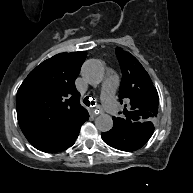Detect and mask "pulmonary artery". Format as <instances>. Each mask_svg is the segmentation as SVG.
Returning a JSON list of instances; mask_svg holds the SVG:
<instances>
[{"label":"pulmonary artery","mask_w":193,"mask_h":193,"mask_svg":"<svg viewBox=\"0 0 193 193\" xmlns=\"http://www.w3.org/2000/svg\"><path fill=\"white\" fill-rule=\"evenodd\" d=\"M118 84V80L112 73H109L102 84V99L107 110L111 111L113 108V95Z\"/></svg>","instance_id":"e3ab8cb5"}]
</instances>
